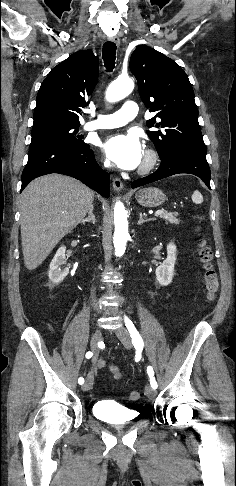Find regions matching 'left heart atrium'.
Listing matches in <instances>:
<instances>
[{
  "mask_svg": "<svg viewBox=\"0 0 236 486\" xmlns=\"http://www.w3.org/2000/svg\"><path fill=\"white\" fill-rule=\"evenodd\" d=\"M102 150L119 168L133 170L143 160V148L137 135L117 134L102 143Z\"/></svg>",
  "mask_w": 236,
  "mask_h": 486,
  "instance_id": "39dd6f15",
  "label": "left heart atrium"
}]
</instances>
